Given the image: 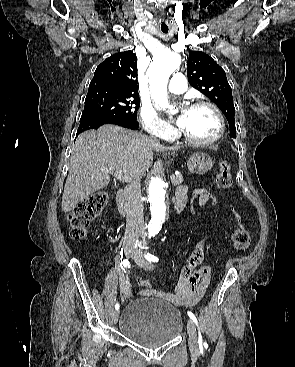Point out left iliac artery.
Instances as JSON below:
<instances>
[{"label":"left iliac artery","mask_w":295,"mask_h":367,"mask_svg":"<svg viewBox=\"0 0 295 367\" xmlns=\"http://www.w3.org/2000/svg\"><path fill=\"white\" fill-rule=\"evenodd\" d=\"M144 257H145L146 260H148L150 262H158L159 261L158 257H156L155 255H152L150 253L145 254ZM187 314L193 320V322L197 325V327L199 329L198 321H197L195 315L191 311H188ZM198 342H199L201 347H202V345L204 347H207V344L204 343L203 340H202V336H201L200 331H199V341Z\"/></svg>","instance_id":"1"}]
</instances>
